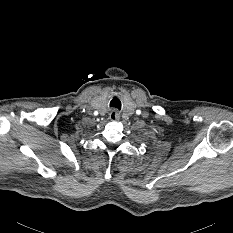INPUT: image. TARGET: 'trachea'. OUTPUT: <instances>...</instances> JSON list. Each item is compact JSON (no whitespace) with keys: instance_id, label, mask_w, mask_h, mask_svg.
<instances>
[{"instance_id":"trachea-1","label":"trachea","mask_w":233,"mask_h":233,"mask_svg":"<svg viewBox=\"0 0 233 233\" xmlns=\"http://www.w3.org/2000/svg\"><path fill=\"white\" fill-rule=\"evenodd\" d=\"M110 107L112 108H117L120 110L121 108V101L119 100L118 97L114 96L112 100L110 101Z\"/></svg>"}]
</instances>
